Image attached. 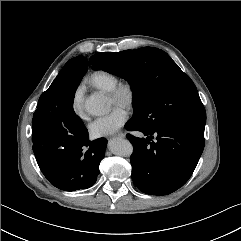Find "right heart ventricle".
Masks as SVG:
<instances>
[{"label":"right heart ventricle","instance_id":"obj_1","mask_svg":"<svg viewBox=\"0 0 241 241\" xmlns=\"http://www.w3.org/2000/svg\"><path fill=\"white\" fill-rule=\"evenodd\" d=\"M88 82L99 90L109 92L119 83V77L106 70H96L89 75Z\"/></svg>","mask_w":241,"mask_h":241}]
</instances>
